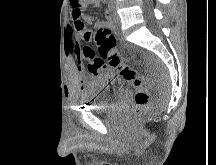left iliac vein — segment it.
I'll return each mask as SVG.
<instances>
[{
  "label": "left iliac vein",
  "mask_w": 216,
  "mask_h": 165,
  "mask_svg": "<svg viewBox=\"0 0 216 165\" xmlns=\"http://www.w3.org/2000/svg\"><path fill=\"white\" fill-rule=\"evenodd\" d=\"M113 8H114L113 20H114V22L116 24H119L120 23V18H119V15L115 11V3L113 4Z\"/></svg>",
  "instance_id": "obj_1"
}]
</instances>
